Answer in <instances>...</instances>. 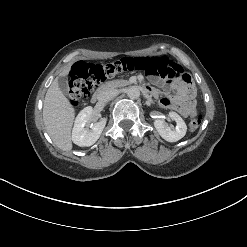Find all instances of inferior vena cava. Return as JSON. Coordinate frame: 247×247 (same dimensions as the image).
I'll return each instance as SVG.
<instances>
[{"label":"inferior vena cava","instance_id":"inferior-vena-cava-1","mask_svg":"<svg viewBox=\"0 0 247 247\" xmlns=\"http://www.w3.org/2000/svg\"><path fill=\"white\" fill-rule=\"evenodd\" d=\"M118 95V91L115 89H107L105 91H102L99 95V101L101 102H108L111 101L113 98H115Z\"/></svg>","mask_w":247,"mask_h":247}]
</instances>
